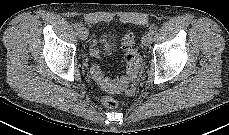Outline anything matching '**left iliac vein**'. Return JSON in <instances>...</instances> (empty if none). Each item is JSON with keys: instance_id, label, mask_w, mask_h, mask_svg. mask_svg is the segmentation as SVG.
<instances>
[{"instance_id": "4c4485c4", "label": "left iliac vein", "mask_w": 229, "mask_h": 135, "mask_svg": "<svg viewBox=\"0 0 229 135\" xmlns=\"http://www.w3.org/2000/svg\"><path fill=\"white\" fill-rule=\"evenodd\" d=\"M153 41V35L150 32H147L142 37V43L144 46H150Z\"/></svg>"}]
</instances>
